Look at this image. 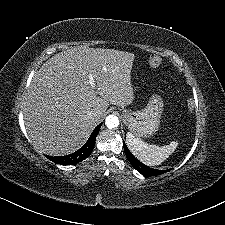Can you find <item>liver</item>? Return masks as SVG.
Here are the masks:
<instances>
[{"label":"liver","mask_w":225,"mask_h":225,"mask_svg":"<svg viewBox=\"0 0 225 225\" xmlns=\"http://www.w3.org/2000/svg\"><path fill=\"white\" fill-rule=\"evenodd\" d=\"M134 58L119 50L78 47L47 60L35 73L23 108L35 149L50 156L70 154L86 142L110 104L130 105ZM89 111L99 115L91 118Z\"/></svg>","instance_id":"6515ba94"}]
</instances>
